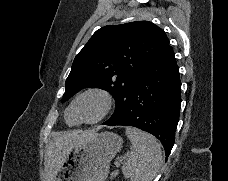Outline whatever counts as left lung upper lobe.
Returning a JSON list of instances; mask_svg holds the SVG:
<instances>
[{
  "label": "left lung upper lobe",
  "mask_w": 228,
  "mask_h": 181,
  "mask_svg": "<svg viewBox=\"0 0 228 181\" xmlns=\"http://www.w3.org/2000/svg\"><path fill=\"white\" fill-rule=\"evenodd\" d=\"M168 45L165 32L149 21L100 28L75 57L62 102L83 88H101L116 101L115 112L104 123L119 121L139 76Z\"/></svg>",
  "instance_id": "5c2ea615"
}]
</instances>
